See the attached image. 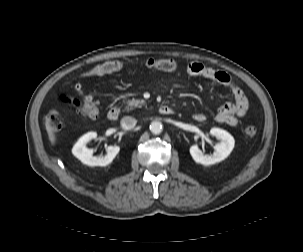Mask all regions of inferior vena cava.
<instances>
[{"mask_svg": "<svg viewBox=\"0 0 303 252\" xmlns=\"http://www.w3.org/2000/svg\"><path fill=\"white\" fill-rule=\"evenodd\" d=\"M136 123L137 120L131 116H125L121 119V126L126 130L134 128Z\"/></svg>", "mask_w": 303, "mask_h": 252, "instance_id": "obj_1", "label": "inferior vena cava"}]
</instances>
